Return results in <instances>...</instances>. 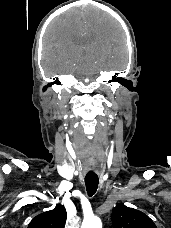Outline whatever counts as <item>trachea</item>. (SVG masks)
Masks as SVG:
<instances>
[{"label": "trachea", "instance_id": "3493384b", "mask_svg": "<svg viewBox=\"0 0 171 228\" xmlns=\"http://www.w3.org/2000/svg\"><path fill=\"white\" fill-rule=\"evenodd\" d=\"M98 184H99L98 176L87 175L85 177V185H86V190L89 197L93 196L96 193Z\"/></svg>", "mask_w": 171, "mask_h": 228}]
</instances>
